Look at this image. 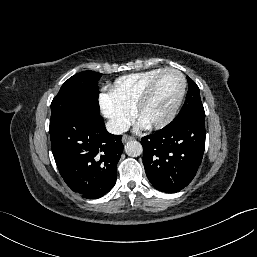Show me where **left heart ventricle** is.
Here are the masks:
<instances>
[{
	"mask_svg": "<svg viewBox=\"0 0 257 257\" xmlns=\"http://www.w3.org/2000/svg\"><path fill=\"white\" fill-rule=\"evenodd\" d=\"M181 88L182 80L177 73L169 72L163 75L144 108L141 122L147 124L163 118L177 101Z\"/></svg>",
	"mask_w": 257,
	"mask_h": 257,
	"instance_id": "left-heart-ventricle-1",
	"label": "left heart ventricle"
}]
</instances>
